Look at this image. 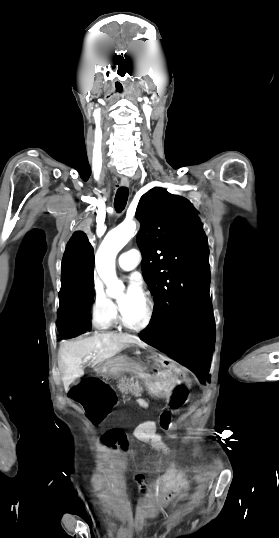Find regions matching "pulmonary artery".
<instances>
[{"label":"pulmonary artery","mask_w":279,"mask_h":538,"mask_svg":"<svg viewBox=\"0 0 279 538\" xmlns=\"http://www.w3.org/2000/svg\"><path fill=\"white\" fill-rule=\"evenodd\" d=\"M135 262L137 261L130 257V252L122 253L117 259V265L123 271L133 270L137 265Z\"/></svg>","instance_id":"pulmonary-artery-1"}]
</instances>
